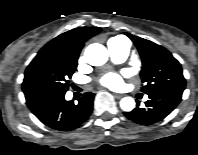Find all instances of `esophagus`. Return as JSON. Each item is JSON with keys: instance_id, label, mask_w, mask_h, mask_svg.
Returning a JSON list of instances; mask_svg holds the SVG:
<instances>
[{"instance_id": "esophagus-1", "label": "esophagus", "mask_w": 198, "mask_h": 155, "mask_svg": "<svg viewBox=\"0 0 198 155\" xmlns=\"http://www.w3.org/2000/svg\"><path fill=\"white\" fill-rule=\"evenodd\" d=\"M116 98H122L124 95L123 94H117V93H114L113 94Z\"/></svg>"}]
</instances>
